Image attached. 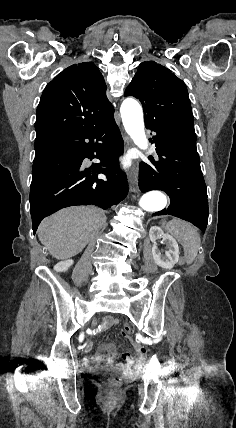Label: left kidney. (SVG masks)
Masks as SVG:
<instances>
[{"label": "left kidney", "mask_w": 236, "mask_h": 428, "mask_svg": "<svg viewBox=\"0 0 236 428\" xmlns=\"http://www.w3.org/2000/svg\"><path fill=\"white\" fill-rule=\"evenodd\" d=\"M149 236L151 242H153L152 256L155 264L161 266V268H166V270H171L179 260V248L176 240L169 234H164L163 230L158 226H152ZM160 238H163L162 242L166 246V252L159 250L156 244V240H160Z\"/></svg>", "instance_id": "obj_1"}]
</instances>
